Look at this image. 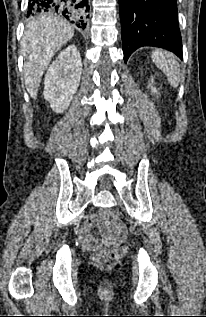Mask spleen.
Masks as SVG:
<instances>
[{
  "label": "spleen",
  "instance_id": "spleen-1",
  "mask_svg": "<svg viewBox=\"0 0 206 317\" xmlns=\"http://www.w3.org/2000/svg\"><path fill=\"white\" fill-rule=\"evenodd\" d=\"M151 57L156 66L165 73L170 85L174 88L178 87L180 82V69L174 55L167 51L155 50L152 52Z\"/></svg>",
  "mask_w": 206,
  "mask_h": 317
}]
</instances>
